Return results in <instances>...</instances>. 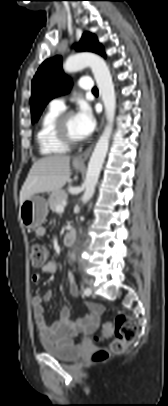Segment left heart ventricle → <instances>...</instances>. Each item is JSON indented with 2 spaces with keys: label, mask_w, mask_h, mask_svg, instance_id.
Wrapping results in <instances>:
<instances>
[{
  "label": "left heart ventricle",
  "mask_w": 168,
  "mask_h": 406,
  "mask_svg": "<svg viewBox=\"0 0 168 406\" xmlns=\"http://www.w3.org/2000/svg\"><path fill=\"white\" fill-rule=\"evenodd\" d=\"M66 129L69 133V135L75 139H81V135L78 131L76 122H75V116L72 115L67 119L66 122Z\"/></svg>",
  "instance_id": "1"
}]
</instances>
